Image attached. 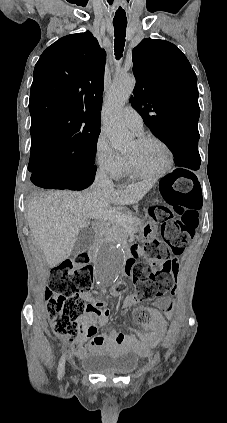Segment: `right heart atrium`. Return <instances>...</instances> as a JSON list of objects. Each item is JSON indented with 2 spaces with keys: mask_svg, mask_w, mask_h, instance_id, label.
<instances>
[{
  "mask_svg": "<svg viewBox=\"0 0 227 423\" xmlns=\"http://www.w3.org/2000/svg\"><path fill=\"white\" fill-rule=\"evenodd\" d=\"M94 159L96 165L112 178L119 179L127 172L125 156L112 148L104 132H100L96 137Z\"/></svg>",
  "mask_w": 227,
  "mask_h": 423,
  "instance_id": "d8ad5b80",
  "label": "right heart atrium"
}]
</instances>
